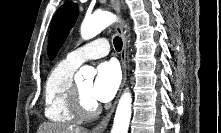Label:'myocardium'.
I'll return each mask as SVG.
<instances>
[{"label": "myocardium", "mask_w": 221, "mask_h": 133, "mask_svg": "<svg viewBox=\"0 0 221 133\" xmlns=\"http://www.w3.org/2000/svg\"><path fill=\"white\" fill-rule=\"evenodd\" d=\"M70 107L74 115L81 120H88L94 118L98 112V105L95 101L88 104L77 84H73L70 92Z\"/></svg>", "instance_id": "obj_1"}]
</instances>
